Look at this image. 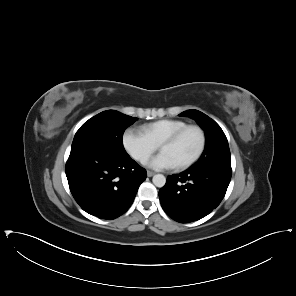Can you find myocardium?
Instances as JSON below:
<instances>
[{"label":"myocardium","mask_w":296,"mask_h":296,"mask_svg":"<svg viewBox=\"0 0 296 296\" xmlns=\"http://www.w3.org/2000/svg\"><path fill=\"white\" fill-rule=\"evenodd\" d=\"M190 130H196L200 134V144L199 147L197 148L196 152L187 160L176 163L175 166L178 168H183L191 165L194 163L203 153L205 144H206V137L204 131L196 125H188L181 131L175 133L173 136H171L162 146H161V151L164 152L168 147L174 145L177 143L188 131Z\"/></svg>","instance_id":"1"}]
</instances>
